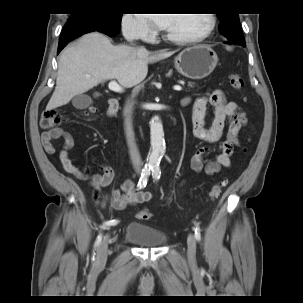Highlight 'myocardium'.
<instances>
[{
	"instance_id": "1",
	"label": "myocardium",
	"mask_w": 303,
	"mask_h": 303,
	"mask_svg": "<svg viewBox=\"0 0 303 303\" xmlns=\"http://www.w3.org/2000/svg\"><path fill=\"white\" fill-rule=\"evenodd\" d=\"M209 17V24L207 26V28L196 35H192V36H175L173 34L168 33L167 31L165 32V37L172 42L175 43H179V44H186V43H193V42H199L203 39H205L206 37H208L212 31L214 30L215 26H216V17L214 14L210 13L207 14Z\"/></svg>"
}]
</instances>
